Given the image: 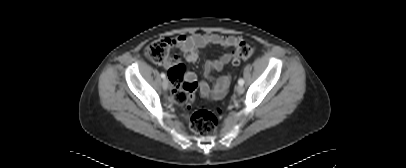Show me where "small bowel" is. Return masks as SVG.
<instances>
[{
    "label": "small bowel",
    "instance_id": "c3829d8e",
    "mask_svg": "<svg viewBox=\"0 0 406 168\" xmlns=\"http://www.w3.org/2000/svg\"><path fill=\"white\" fill-rule=\"evenodd\" d=\"M240 42L241 39L237 36H225L215 33L194 34L190 36L179 35L173 39L172 44L179 49L180 53H174L162 65L170 70L174 65L182 64V58L188 63L195 62L199 57V51L208 46L215 45L223 48H234ZM231 58V54H224L219 58L205 62V74L214 82V86L210 89L206 82L202 81L199 83V91L204 98L219 100L224 97L230 85L231 77L229 74H225L214 78L212 73L221 71L231 61ZM181 78L192 82L196 79L195 75L187 69Z\"/></svg>",
    "mask_w": 406,
    "mask_h": 168
}]
</instances>
